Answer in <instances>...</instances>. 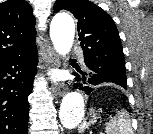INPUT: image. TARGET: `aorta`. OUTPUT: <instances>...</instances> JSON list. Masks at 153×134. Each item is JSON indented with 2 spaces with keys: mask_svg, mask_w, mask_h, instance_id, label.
<instances>
[{
  "mask_svg": "<svg viewBox=\"0 0 153 134\" xmlns=\"http://www.w3.org/2000/svg\"><path fill=\"white\" fill-rule=\"evenodd\" d=\"M75 35L73 19L67 15H57L51 22L50 37L56 52L66 56L72 48ZM84 99L78 92L66 94L59 109V119L66 129L76 127L84 116Z\"/></svg>",
  "mask_w": 153,
  "mask_h": 134,
  "instance_id": "obj_1",
  "label": "aorta"
}]
</instances>
